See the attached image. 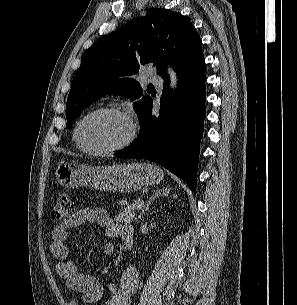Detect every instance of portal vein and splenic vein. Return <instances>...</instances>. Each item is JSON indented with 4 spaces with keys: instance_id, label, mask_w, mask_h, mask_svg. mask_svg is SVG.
<instances>
[{
    "instance_id": "18ae733b",
    "label": "portal vein and splenic vein",
    "mask_w": 297,
    "mask_h": 305,
    "mask_svg": "<svg viewBox=\"0 0 297 305\" xmlns=\"http://www.w3.org/2000/svg\"><path fill=\"white\" fill-rule=\"evenodd\" d=\"M142 205H143V201H142V200H139V201L137 202V206H138L139 208H141Z\"/></svg>"
}]
</instances>
